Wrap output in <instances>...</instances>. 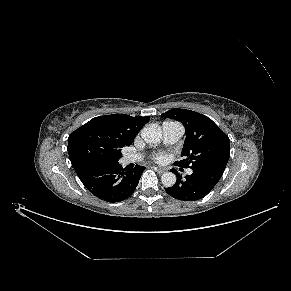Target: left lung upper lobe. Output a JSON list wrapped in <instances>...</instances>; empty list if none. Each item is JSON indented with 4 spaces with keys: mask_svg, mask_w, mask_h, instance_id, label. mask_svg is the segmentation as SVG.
<instances>
[{
    "mask_svg": "<svg viewBox=\"0 0 291 291\" xmlns=\"http://www.w3.org/2000/svg\"><path fill=\"white\" fill-rule=\"evenodd\" d=\"M163 117L180 121L185 126L186 138L180 167H217L225 169L230 157L228 136L207 116L186 109H171Z\"/></svg>",
    "mask_w": 291,
    "mask_h": 291,
    "instance_id": "left-lung-upper-lobe-1",
    "label": "left lung upper lobe"
}]
</instances>
